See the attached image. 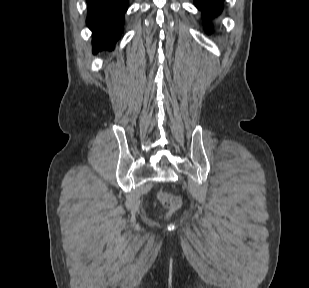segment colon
Segmentation results:
<instances>
[{
    "label": "colon",
    "mask_w": 309,
    "mask_h": 288,
    "mask_svg": "<svg viewBox=\"0 0 309 288\" xmlns=\"http://www.w3.org/2000/svg\"><path fill=\"white\" fill-rule=\"evenodd\" d=\"M158 199L169 211H175L180 206V200L177 196L164 191L158 193Z\"/></svg>",
    "instance_id": "1"
}]
</instances>
